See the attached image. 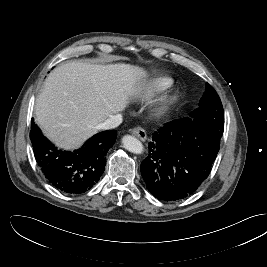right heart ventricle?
Instances as JSON below:
<instances>
[{"mask_svg": "<svg viewBox=\"0 0 267 267\" xmlns=\"http://www.w3.org/2000/svg\"><path fill=\"white\" fill-rule=\"evenodd\" d=\"M173 80L167 76H155L138 85V90L143 93L158 94L170 88Z\"/></svg>", "mask_w": 267, "mask_h": 267, "instance_id": "1", "label": "right heart ventricle"}]
</instances>
